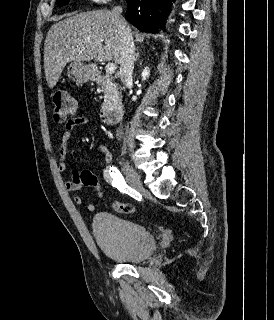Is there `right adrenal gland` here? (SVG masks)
Here are the masks:
<instances>
[{
  "label": "right adrenal gland",
  "mask_w": 274,
  "mask_h": 320,
  "mask_svg": "<svg viewBox=\"0 0 274 320\" xmlns=\"http://www.w3.org/2000/svg\"><path fill=\"white\" fill-rule=\"evenodd\" d=\"M136 60H139V54H135Z\"/></svg>",
  "instance_id": "obj_1"
}]
</instances>
